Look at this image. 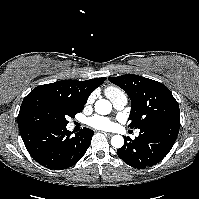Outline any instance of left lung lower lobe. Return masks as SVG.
<instances>
[{"label": "left lung lower lobe", "instance_id": "left-lung-lower-lobe-1", "mask_svg": "<svg viewBox=\"0 0 199 199\" xmlns=\"http://www.w3.org/2000/svg\"><path fill=\"white\" fill-rule=\"evenodd\" d=\"M180 128V120L162 121L140 129V135L117 150L118 156L128 165L144 169L160 162L173 147Z\"/></svg>", "mask_w": 199, "mask_h": 199}]
</instances>
